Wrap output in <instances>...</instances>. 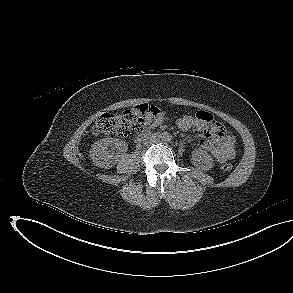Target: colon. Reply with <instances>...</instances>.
I'll return each mask as SVG.
<instances>
[{"label":"colon","instance_id":"1","mask_svg":"<svg viewBox=\"0 0 293 293\" xmlns=\"http://www.w3.org/2000/svg\"><path fill=\"white\" fill-rule=\"evenodd\" d=\"M198 116L209 120L210 116L200 112ZM142 114L136 109L113 110L102 114L95 122L92 133L95 136L128 137L143 126ZM232 164L225 163L221 166L224 172L231 171Z\"/></svg>","mask_w":293,"mask_h":293}]
</instances>
